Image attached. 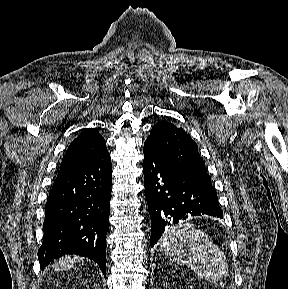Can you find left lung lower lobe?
Masks as SVG:
<instances>
[{"label": "left lung lower lobe", "mask_w": 288, "mask_h": 289, "mask_svg": "<svg viewBox=\"0 0 288 289\" xmlns=\"http://www.w3.org/2000/svg\"><path fill=\"white\" fill-rule=\"evenodd\" d=\"M145 197L151 217V247L172 224L188 216L223 218L212 184L192 176L160 157L144 144Z\"/></svg>", "instance_id": "obj_1"}]
</instances>
